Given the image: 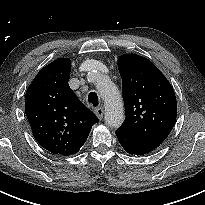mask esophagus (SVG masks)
<instances>
[{
    "mask_svg": "<svg viewBox=\"0 0 205 205\" xmlns=\"http://www.w3.org/2000/svg\"><path fill=\"white\" fill-rule=\"evenodd\" d=\"M95 113L97 115V117L101 120L104 116V109L103 107H98L95 109Z\"/></svg>",
    "mask_w": 205,
    "mask_h": 205,
    "instance_id": "obj_1",
    "label": "esophagus"
}]
</instances>
